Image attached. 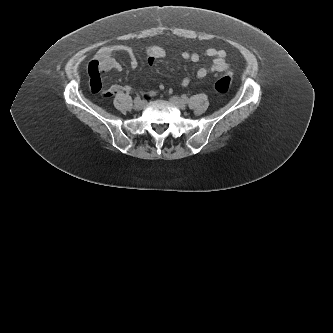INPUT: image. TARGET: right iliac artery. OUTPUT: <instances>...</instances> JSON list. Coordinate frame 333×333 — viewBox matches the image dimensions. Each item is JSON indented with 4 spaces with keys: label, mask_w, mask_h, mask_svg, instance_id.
Here are the masks:
<instances>
[{
    "label": "right iliac artery",
    "mask_w": 333,
    "mask_h": 333,
    "mask_svg": "<svg viewBox=\"0 0 333 333\" xmlns=\"http://www.w3.org/2000/svg\"><path fill=\"white\" fill-rule=\"evenodd\" d=\"M139 100H141V97H140V96H137V97L135 98V101H139Z\"/></svg>",
    "instance_id": "1"
}]
</instances>
